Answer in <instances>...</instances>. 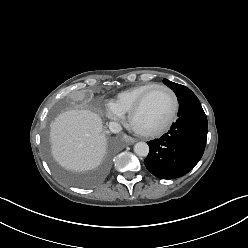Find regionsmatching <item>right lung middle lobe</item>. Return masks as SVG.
Masks as SVG:
<instances>
[{
	"label": "right lung middle lobe",
	"mask_w": 248,
	"mask_h": 248,
	"mask_svg": "<svg viewBox=\"0 0 248 248\" xmlns=\"http://www.w3.org/2000/svg\"><path fill=\"white\" fill-rule=\"evenodd\" d=\"M44 145L53 171L65 182L76 186H90L100 181L108 171L114 154V149L112 148L107 153L101 166L97 170L88 174H76L64 169L61 165H59L52 159V157L50 156L49 142L47 139L45 140Z\"/></svg>",
	"instance_id": "right-lung-middle-lobe-1"
}]
</instances>
